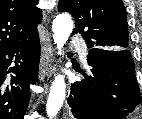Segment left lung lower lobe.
<instances>
[{
	"instance_id": "obj_1",
	"label": "left lung lower lobe",
	"mask_w": 142,
	"mask_h": 119,
	"mask_svg": "<svg viewBox=\"0 0 142 119\" xmlns=\"http://www.w3.org/2000/svg\"><path fill=\"white\" fill-rule=\"evenodd\" d=\"M91 75L71 85L68 104L75 119H123L141 102L128 49L91 48Z\"/></svg>"
}]
</instances>
